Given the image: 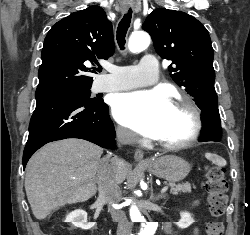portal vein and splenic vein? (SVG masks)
I'll list each match as a JSON object with an SVG mask.
<instances>
[{
	"instance_id": "18ae733b",
	"label": "portal vein and splenic vein",
	"mask_w": 250,
	"mask_h": 235,
	"mask_svg": "<svg viewBox=\"0 0 250 235\" xmlns=\"http://www.w3.org/2000/svg\"><path fill=\"white\" fill-rule=\"evenodd\" d=\"M167 190H168V187L165 186V187L161 190V193H165Z\"/></svg>"
}]
</instances>
